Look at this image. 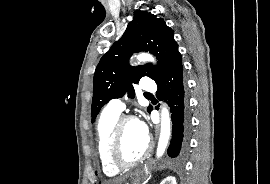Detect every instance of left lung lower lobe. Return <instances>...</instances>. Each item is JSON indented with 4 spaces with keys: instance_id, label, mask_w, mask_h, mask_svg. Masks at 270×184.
<instances>
[{
    "instance_id": "0a47b994",
    "label": "left lung lower lobe",
    "mask_w": 270,
    "mask_h": 184,
    "mask_svg": "<svg viewBox=\"0 0 270 184\" xmlns=\"http://www.w3.org/2000/svg\"><path fill=\"white\" fill-rule=\"evenodd\" d=\"M155 82L158 86L157 97L167 100L172 113V137L167 153L175 164H179L187 154L191 130L180 52L175 54L164 74Z\"/></svg>"
}]
</instances>
